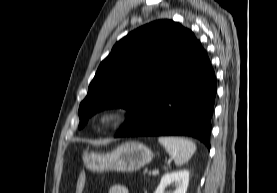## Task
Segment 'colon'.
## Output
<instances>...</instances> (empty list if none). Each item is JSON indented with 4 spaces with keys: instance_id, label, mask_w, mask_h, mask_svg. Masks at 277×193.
Returning <instances> with one entry per match:
<instances>
[{
    "instance_id": "obj_1",
    "label": "colon",
    "mask_w": 277,
    "mask_h": 193,
    "mask_svg": "<svg viewBox=\"0 0 277 193\" xmlns=\"http://www.w3.org/2000/svg\"><path fill=\"white\" fill-rule=\"evenodd\" d=\"M86 185V174L85 172H81L77 183H76V188H75V193H83Z\"/></svg>"
}]
</instances>
